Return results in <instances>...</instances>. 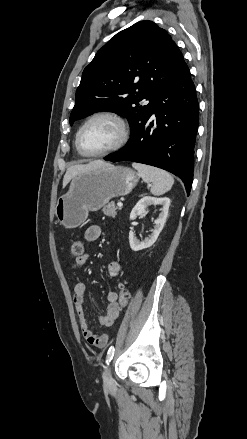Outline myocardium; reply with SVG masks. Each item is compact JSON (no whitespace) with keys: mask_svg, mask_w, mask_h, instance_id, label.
<instances>
[{"mask_svg":"<svg viewBox=\"0 0 247 439\" xmlns=\"http://www.w3.org/2000/svg\"><path fill=\"white\" fill-rule=\"evenodd\" d=\"M98 118H108L111 119L113 121H115L120 129V137L118 139V141L110 148L101 151V152H97V153H89L86 152L81 144V136L82 133L84 131V129L86 128V126L91 123L93 120L98 119ZM130 138V127L128 125V122L126 121V119L116 113V112H112V111H101V112H97L93 115H91L79 128L77 135H76V146L78 151L80 152L81 155L86 156V157H102V156H106L110 153H113L119 149H121L122 147H124L127 142L129 141Z\"/></svg>","mask_w":247,"mask_h":439,"instance_id":"f54148a6","label":"myocardium"}]
</instances>
